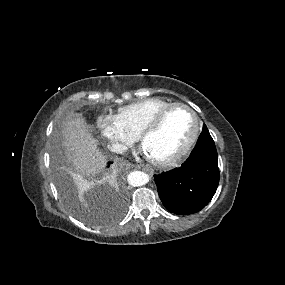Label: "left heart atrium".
Instances as JSON below:
<instances>
[{
  "mask_svg": "<svg viewBox=\"0 0 285 285\" xmlns=\"http://www.w3.org/2000/svg\"><path fill=\"white\" fill-rule=\"evenodd\" d=\"M140 153H141L142 155H144L145 157H149V158H150V156L147 154V152H146V150H145L143 144H142L141 147H140Z\"/></svg>",
  "mask_w": 285,
  "mask_h": 285,
  "instance_id": "obj_1",
  "label": "left heart atrium"
}]
</instances>
